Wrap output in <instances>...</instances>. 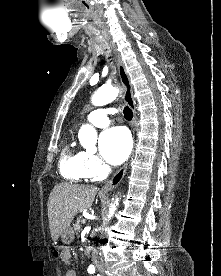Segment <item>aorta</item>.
<instances>
[{"label":"aorta","instance_id":"aorta-1","mask_svg":"<svg viewBox=\"0 0 221 276\" xmlns=\"http://www.w3.org/2000/svg\"><path fill=\"white\" fill-rule=\"evenodd\" d=\"M118 93L119 89L114 86H102L92 96V104L95 106L106 105L115 100L118 96ZM78 138L84 148H93L95 147L97 142V131L93 126L89 124L83 125L79 130ZM118 204L119 199L117 198L115 202L110 206L109 214L107 217L108 221L114 215Z\"/></svg>","mask_w":221,"mask_h":276}]
</instances>
